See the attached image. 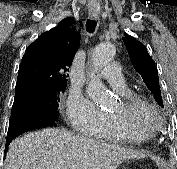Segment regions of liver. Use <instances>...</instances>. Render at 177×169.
I'll use <instances>...</instances> for the list:
<instances>
[{
	"mask_svg": "<svg viewBox=\"0 0 177 169\" xmlns=\"http://www.w3.org/2000/svg\"><path fill=\"white\" fill-rule=\"evenodd\" d=\"M144 156L65 129L46 128L13 140L4 169H117L127 159Z\"/></svg>",
	"mask_w": 177,
	"mask_h": 169,
	"instance_id": "liver-1",
	"label": "liver"
}]
</instances>
